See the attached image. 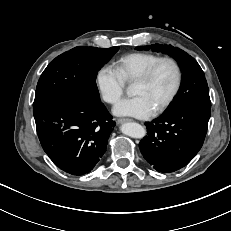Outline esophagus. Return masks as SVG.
Listing matches in <instances>:
<instances>
[{
    "mask_svg": "<svg viewBox=\"0 0 231 231\" xmlns=\"http://www.w3.org/2000/svg\"><path fill=\"white\" fill-rule=\"evenodd\" d=\"M131 121V119H128V118H118L117 119V124H122V123H125V122H129Z\"/></svg>",
    "mask_w": 231,
    "mask_h": 231,
    "instance_id": "1",
    "label": "esophagus"
}]
</instances>
